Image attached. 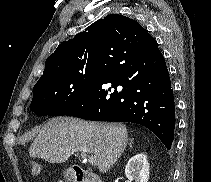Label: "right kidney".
<instances>
[{
	"label": "right kidney",
	"instance_id": "obj_1",
	"mask_svg": "<svg viewBox=\"0 0 211 182\" xmlns=\"http://www.w3.org/2000/svg\"><path fill=\"white\" fill-rule=\"evenodd\" d=\"M125 175L130 181L148 182L149 163L146 155L140 153L133 156L126 165Z\"/></svg>",
	"mask_w": 211,
	"mask_h": 182
}]
</instances>
